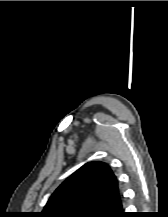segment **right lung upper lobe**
<instances>
[{
	"label": "right lung upper lobe",
	"instance_id": "cb5924a9",
	"mask_svg": "<svg viewBox=\"0 0 168 217\" xmlns=\"http://www.w3.org/2000/svg\"><path fill=\"white\" fill-rule=\"evenodd\" d=\"M122 207L117 179L103 162H89L51 195L38 217H109Z\"/></svg>",
	"mask_w": 168,
	"mask_h": 217
}]
</instances>
